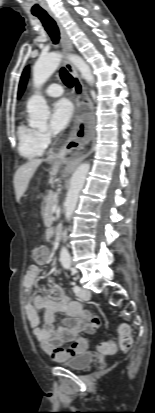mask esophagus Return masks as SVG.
<instances>
[{"label":"esophagus","instance_id":"34e87169","mask_svg":"<svg viewBox=\"0 0 155 413\" xmlns=\"http://www.w3.org/2000/svg\"><path fill=\"white\" fill-rule=\"evenodd\" d=\"M48 14L53 18V20L56 22L59 31H60V36H61V46L63 48V51L66 54H69L72 51V46L69 42V38L67 36L66 30L61 24L60 20L56 17V15L53 12H48ZM64 66L68 70V72L73 76L74 79V92H75V102H76V112L79 114H83L87 108L90 105V98L88 96L87 90L82 83V81L79 79L76 70L73 66V64L68 60H64ZM76 134V133H75ZM74 139L69 140L62 149L63 153H67L70 150H72ZM90 152L74 159L72 163L70 164V168L73 169L75 168L82 160H84Z\"/></svg>","mask_w":155,"mask_h":413}]
</instances>
